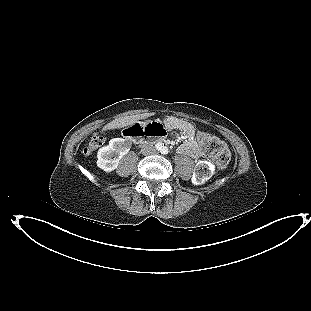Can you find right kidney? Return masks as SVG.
<instances>
[{"label": "right kidney", "instance_id": "1", "mask_svg": "<svg viewBox=\"0 0 311 311\" xmlns=\"http://www.w3.org/2000/svg\"><path fill=\"white\" fill-rule=\"evenodd\" d=\"M129 150L130 145L125 139L113 138L109 141L107 146L98 150L97 166L105 172H112L118 167L120 159L127 154Z\"/></svg>", "mask_w": 311, "mask_h": 311}]
</instances>
